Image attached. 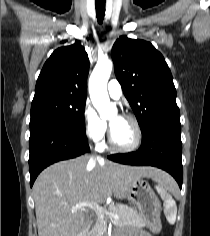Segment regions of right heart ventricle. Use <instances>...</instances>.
Segmentation results:
<instances>
[{"instance_id":"e07e8e85","label":"right heart ventricle","mask_w":210,"mask_h":236,"mask_svg":"<svg viewBox=\"0 0 210 236\" xmlns=\"http://www.w3.org/2000/svg\"><path fill=\"white\" fill-rule=\"evenodd\" d=\"M100 148H104V145H101V147Z\"/></svg>"}]
</instances>
